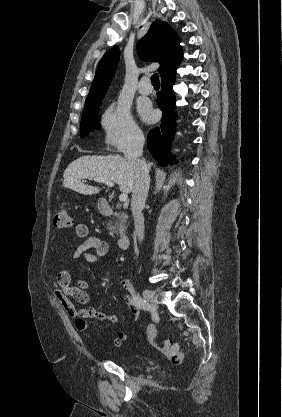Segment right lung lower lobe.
<instances>
[{"mask_svg":"<svg viewBox=\"0 0 282 417\" xmlns=\"http://www.w3.org/2000/svg\"><path fill=\"white\" fill-rule=\"evenodd\" d=\"M176 68L165 74L162 81V89L158 93L157 103L162 110L160 127L150 130L148 133L147 147L160 166L173 164V156L170 155L171 142L174 130L175 94L172 86L175 83Z\"/></svg>","mask_w":282,"mask_h":417,"instance_id":"1","label":"right lung lower lobe"}]
</instances>
